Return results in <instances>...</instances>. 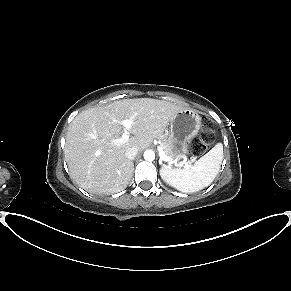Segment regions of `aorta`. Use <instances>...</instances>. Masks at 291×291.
Returning <instances> with one entry per match:
<instances>
[{
  "label": "aorta",
  "instance_id": "762f6f07",
  "mask_svg": "<svg viewBox=\"0 0 291 291\" xmlns=\"http://www.w3.org/2000/svg\"><path fill=\"white\" fill-rule=\"evenodd\" d=\"M144 159L146 161H153L155 159V152L152 150H146L144 152Z\"/></svg>",
  "mask_w": 291,
  "mask_h": 291
}]
</instances>
